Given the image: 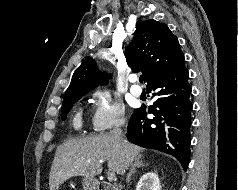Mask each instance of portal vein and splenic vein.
Instances as JSON below:
<instances>
[{
    "instance_id": "1",
    "label": "portal vein and splenic vein",
    "mask_w": 238,
    "mask_h": 190,
    "mask_svg": "<svg viewBox=\"0 0 238 190\" xmlns=\"http://www.w3.org/2000/svg\"><path fill=\"white\" fill-rule=\"evenodd\" d=\"M108 180L113 181L116 178L115 173L108 171Z\"/></svg>"
}]
</instances>
